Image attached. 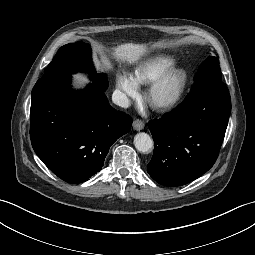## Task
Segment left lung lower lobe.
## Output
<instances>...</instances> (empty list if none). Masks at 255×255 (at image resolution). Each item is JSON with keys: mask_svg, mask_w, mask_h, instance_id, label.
<instances>
[{"mask_svg": "<svg viewBox=\"0 0 255 255\" xmlns=\"http://www.w3.org/2000/svg\"><path fill=\"white\" fill-rule=\"evenodd\" d=\"M231 112V98L221 77L205 74L195 79L183 104L148 127L154 153L147 172L159 184L185 185L215 163Z\"/></svg>", "mask_w": 255, "mask_h": 255, "instance_id": "0a47b994", "label": "left lung lower lobe"}]
</instances>
